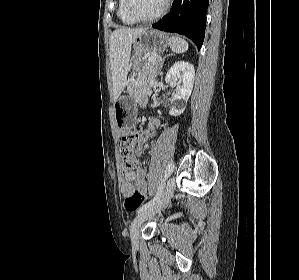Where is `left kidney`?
I'll return each mask as SVG.
<instances>
[{
    "label": "left kidney",
    "mask_w": 299,
    "mask_h": 280,
    "mask_svg": "<svg viewBox=\"0 0 299 280\" xmlns=\"http://www.w3.org/2000/svg\"><path fill=\"white\" fill-rule=\"evenodd\" d=\"M195 69L192 64L185 61L176 62L167 72L165 81L170 86H176L171 100L170 115L177 116L184 112L194 82Z\"/></svg>",
    "instance_id": "obj_1"
}]
</instances>
